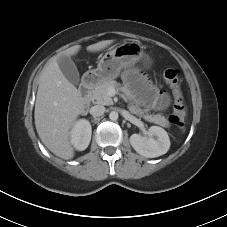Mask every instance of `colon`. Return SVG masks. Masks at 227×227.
Returning <instances> with one entry per match:
<instances>
[{"mask_svg": "<svg viewBox=\"0 0 227 227\" xmlns=\"http://www.w3.org/2000/svg\"><path fill=\"white\" fill-rule=\"evenodd\" d=\"M163 77L174 95L173 112L169 117V121L177 127H182L184 125L185 104L181 89L180 72L175 68L167 67L163 71Z\"/></svg>", "mask_w": 227, "mask_h": 227, "instance_id": "colon-1", "label": "colon"}]
</instances>
